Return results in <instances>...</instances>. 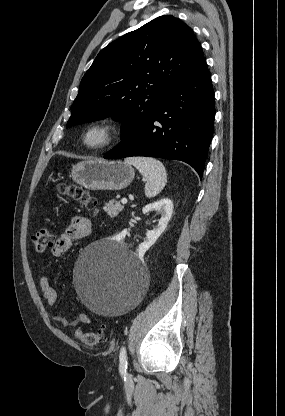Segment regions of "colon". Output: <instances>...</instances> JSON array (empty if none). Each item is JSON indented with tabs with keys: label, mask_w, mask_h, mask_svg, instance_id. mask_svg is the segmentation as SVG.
<instances>
[{
	"label": "colon",
	"mask_w": 285,
	"mask_h": 416,
	"mask_svg": "<svg viewBox=\"0 0 285 416\" xmlns=\"http://www.w3.org/2000/svg\"><path fill=\"white\" fill-rule=\"evenodd\" d=\"M60 192L93 212L97 210L96 200L79 186L72 184L62 185ZM32 243L36 253H43L53 246L54 237L49 230L41 229L33 235ZM75 335L83 344L95 347L101 345L104 342L105 328L101 327L93 332H85L78 329L76 330Z\"/></svg>",
	"instance_id": "5ec220e1"
}]
</instances>
